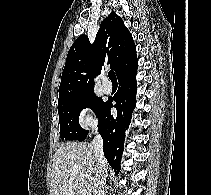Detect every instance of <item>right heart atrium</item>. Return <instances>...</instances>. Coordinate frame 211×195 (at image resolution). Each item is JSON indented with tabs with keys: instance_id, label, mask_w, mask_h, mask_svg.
I'll return each mask as SVG.
<instances>
[{
	"instance_id": "right-heart-atrium-1",
	"label": "right heart atrium",
	"mask_w": 211,
	"mask_h": 195,
	"mask_svg": "<svg viewBox=\"0 0 211 195\" xmlns=\"http://www.w3.org/2000/svg\"><path fill=\"white\" fill-rule=\"evenodd\" d=\"M78 123L84 129H89L95 125V118L88 107H83L78 112Z\"/></svg>"
}]
</instances>
